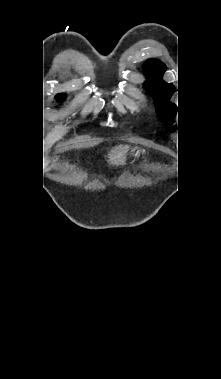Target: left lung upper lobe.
Returning a JSON list of instances; mask_svg holds the SVG:
<instances>
[{
  "mask_svg": "<svg viewBox=\"0 0 221 379\" xmlns=\"http://www.w3.org/2000/svg\"><path fill=\"white\" fill-rule=\"evenodd\" d=\"M165 65L161 61L151 59L144 63L143 72L148 78L145 83V90L152 95L156 104V111L161 121L166 125L174 123L176 105L169 101L175 89L172 84L162 80L165 72ZM175 127L172 128L174 130Z\"/></svg>",
  "mask_w": 221,
  "mask_h": 379,
  "instance_id": "5c2ea615",
  "label": "left lung upper lobe"
}]
</instances>
